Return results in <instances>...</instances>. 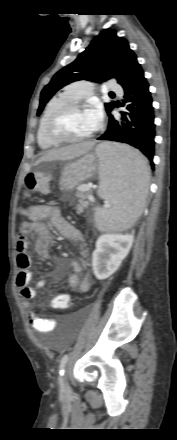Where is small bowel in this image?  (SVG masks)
Returning <instances> with one entry per match:
<instances>
[{"label":"small bowel","instance_id":"1","mask_svg":"<svg viewBox=\"0 0 177 440\" xmlns=\"http://www.w3.org/2000/svg\"><path fill=\"white\" fill-rule=\"evenodd\" d=\"M27 216L29 223L19 234L16 243L17 266L19 269L16 284L19 289L20 297L22 298V305L28 309L27 317L30 326L39 333H48L55 329L57 321L41 318L30 310V301L35 297L37 289H42L46 286L47 280H39L35 288L30 286L32 279V273L30 271L31 259L27 254L28 242L26 235L34 234L36 236L35 250L37 254L45 258L50 255V245L53 240L50 231L51 227H54L64 238L75 242H82L83 236L76 227L71 225L61 215L57 206L45 204L32 205L27 208ZM70 265L76 272L82 270V267L77 261H71ZM56 276L57 273L53 272L50 278L54 279ZM68 283L70 288L76 289L80 293H87L92 286L91 279L88 276L80 279L76 273L69 276ZM52 298H70V296L65 293H59Z\"/></svg>","mask_w":177,"mask_h":440}]
</instances>
